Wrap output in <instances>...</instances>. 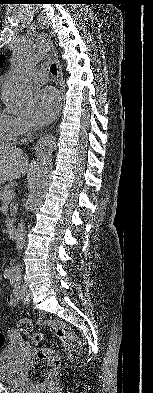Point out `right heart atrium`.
<instances>
[{
  "instance_id": "right-heart-atrium-1",
  "label": "right heart atrium",
  "mask_w": 153,
  "mask_h": 393,
  "mask_svg": "<svg viewBox=\"0 0 153 393\" xmlns=\"http://www.w3.org/2000/svg\"><path fill=\"white\" fill-rule=\"evenodd\" d=\"M19 122V135L28 136L31 135L35 131L34 124L26 118H18Z\"/></svg>"
}]
</instances>
